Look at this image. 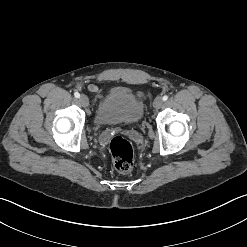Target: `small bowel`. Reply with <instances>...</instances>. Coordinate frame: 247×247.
Segmentation results:
<instances>
[{
    "mask_svg": "<svg viewBox=\"0 0 247 247\" xmlns=\"http://www.w3.org/2000/svg\"><path fill=\"white\" fill-rule=\"evenodd\" d=\"M89 91L92 92V93L97 94L100 98L103 97V92H102V90L99 89V87H97L96 85H93V84L90 85V86H89ZM137 95H138V97H141V93H138Z\"/></svg>",
    "mask_w": 247,
    "mask_h": 247,
    "instance_id": "c3829d8e",
    "label": "small bowel"
}]
</instances>
